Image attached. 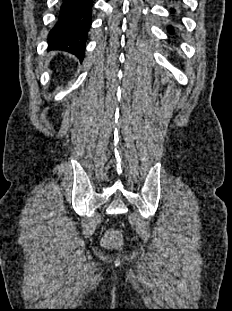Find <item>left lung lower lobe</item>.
<instances>
[{
  "instance_id": "left-lung-lower-lobe-1",
  "label": "left lung lower lobe",
  "mask_w": 232,
  "mask_h": 311,
  "mask_svg": "<svg viewBox=\"0 0 232 311\" xmlns=\"http://www.w3.org/2000/svg\"><path fill=\"white\" fill-rule=\"evenodd\" d=\"M171 12L172 13H175V9H171ZM168 31L171 33V34H173L174 33V30H173V28L172 27H168Z\"/></svg>"
}]
</instances>
